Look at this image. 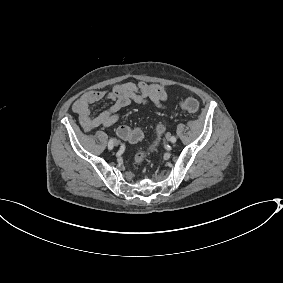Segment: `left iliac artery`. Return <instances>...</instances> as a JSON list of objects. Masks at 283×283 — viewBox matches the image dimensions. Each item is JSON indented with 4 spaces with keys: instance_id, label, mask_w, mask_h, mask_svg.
Returning <instances> with one entry per match:
<instances>
[{
    "instance_id": "obj_1",
    "label": "left iliac artery",
    "mask_w": 283,
    "mask_h": 283,
    "mask_svg": "<svg viewBox=\"0 0 283 283\" xmlns=\"http://www.w3.org/2000/svg\"><path fill=\"white\" fill-rule=\"evenodd\" d=\"M176 140H177V139H176V137H175V136H172V137H171V142H172V143H175V142H176Z\"/></svg>"
}]
</instances>
